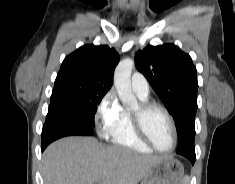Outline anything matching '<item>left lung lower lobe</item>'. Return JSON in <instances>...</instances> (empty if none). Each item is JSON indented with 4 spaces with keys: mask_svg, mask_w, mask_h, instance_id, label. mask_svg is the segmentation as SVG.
Masks as SVG:
<instances>
[{
    "mask_svg": "<svg viewBox=\"0 0 235 184\" xmlns=\"http://www.w3.org/2000/svg\"><path fill=\"white\" fill-rule=\"evenodd\" d=\"M182 156H184L187 159H189L191 161L192 165H194V162H195V159H196L195 154L194 155H192V154H183Z\"/></svg>",
    "mask_w": 235,
    "mask_h": 184,
    "instance_id": "0a47b994",
    "label": "left lung lower lobe"
}]
</instances>
